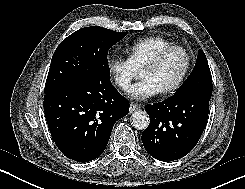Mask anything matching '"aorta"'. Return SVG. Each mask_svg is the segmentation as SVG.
Masks as SVG:
<instances>
[{"mask_svg": "<svg viewBox=\"0 0 245 189\" xmlns=\"http://www.w3.org/2000/svg\"><path fill=\"white\" fill-rule=\"evenodd\" d=\"M132 125L138 130H144L149 125V117L145 111L139 110L132 114Z\"/></svg>", "mask_w": 245, "mask_h": 189, "instance_id": "aorta-1", "label": "aorta"}]
</instances>
